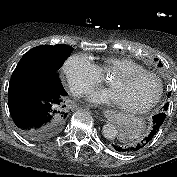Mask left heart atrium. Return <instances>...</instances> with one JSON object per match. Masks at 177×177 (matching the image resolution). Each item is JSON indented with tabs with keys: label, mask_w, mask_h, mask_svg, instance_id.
<instances>
[{
	"label": "left heart atrium",
	"mask_w": 177,
	"mask_h": 177,
	"mask_svg": "<svg viewBox=\"0 0 177 177\" xmlns=\"http://www.w3.org/2000/svg\"><path fill=\"white\" fill-rule=\"evenodd\" d=\"M91 102L96 104H118L114 91L110 89H98L89 95Z\"/></svg>",
	"instance_id": "1"
}]
</instances>
